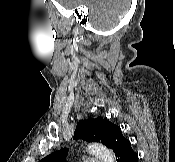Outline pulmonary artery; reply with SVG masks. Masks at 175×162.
Segmentation results:
<instances>
[{"mask_svg":"<svg viewBox=\"0 0 175 162\" xmlns=\"http://www.w3.org/2000/svg\"><path fill=\"white\" fill-rule=\"evenodd\" d=\"M85 162H101V160H99L97 158H89Z\"/></svg>","mask_w":175,"mask_h":162,"instance_id":"e3ab8cb5","label":"pulmonary artery"}]
</instances>
